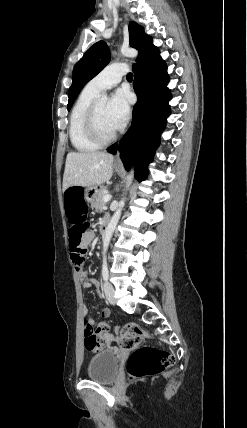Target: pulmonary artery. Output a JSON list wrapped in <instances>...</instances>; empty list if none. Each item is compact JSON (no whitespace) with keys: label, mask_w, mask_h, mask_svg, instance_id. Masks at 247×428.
Listing matches in <instances>:
<instances>
[{"label":"pulmonary artery","mask_w":247,"mask_h":428,"mask_svg":"<svg viewBox=\"0 0 247 428\" xmlns=\"http://www.w3.org/2000/svg\"><path fill=\"white\" fill-rule=\"evenodd\" d=\"M127 71L128 68L125 64H112L90 80L87 87L100 93L118 84Z\"/></svg>","instance_id":"1"}]
</instances>
